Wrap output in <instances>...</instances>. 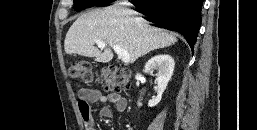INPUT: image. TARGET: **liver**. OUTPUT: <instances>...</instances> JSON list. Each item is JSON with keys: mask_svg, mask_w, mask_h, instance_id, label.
I'll use <instances>...</instances> for the list:
<instances>
[{"mask_svg": "<svg viewBox=\"0 0 257 130\" xmlns=\"http://www.w3.org/2000/svg\"><path fill=\"white\" fill-rule=\"evenodd\" d=\"M136 15L132 10L117 7L95 9L81 15L66 34L65 52L107 63L113 59L112 50L105 48L100 51L94 46L97 41H102L126 50L131 57L130 62L134 63L150 51L177 42L174 34L152 27Z\"/></svg>", "mask_w": 257, "mask_h": 130, "instance_id": "1", "label": "liver"}]
</instances>
